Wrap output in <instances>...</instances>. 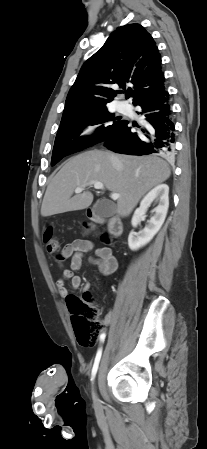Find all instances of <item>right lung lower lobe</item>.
Wrapping results in <instances>:
<instances>
[{"label":"right lung lower lobe","mask_w":207,"mask_h":449,"mask_svg":"<svg viewBox=\"0 0 207 449\" xmlns=\"http://www.w3.org/2000/svg\"><path fill=\"white\" fill-rule=\"evenodd\" d=\"M133 105L140 106L146 123L132 132L128 121L122 124L105 140V146L117 153L147 155L157 153L170 157L175 141V126L167 91L141 98Z\"/></svg>","instance_id":"obj_1"}]
</instances>
